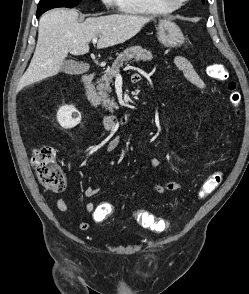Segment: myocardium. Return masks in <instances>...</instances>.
Returning <instances> with one entry per match:
<instances>
[{
  "instance_id": "obj_1",
  "label": "myocardium",
  "mask_w": 249,
  "mask_h": 294,
  "mask_svg": "<svg viewBox=\"0 0 249 294\" xmlns=\"http://www.w3.org/2000/svg\"><path fill=\"white\" fill-rule=\"evenodd\" d=\"M160 3H162L163 5H166L172 9H178L181 6H183L186 2H188L189 0H182V1H174V0H159Z\"/></svg>"
}]
</instances>
